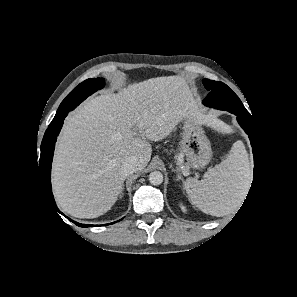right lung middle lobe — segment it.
<instances>
[{
  "instance_id": "obj_1",
  "label": "right lung middle lobe",
  "mask_w": 297,
  "mask_h": 297,
  "mask_svg": "<svg viewBox=\"0 0 297 297\" xmlns=\"http://www.w3.org/2000/svg\"><path fill=\"white\" fill-rule=\"evenodd\" d=\"M104 79L103 78H92L87 79L80 83L77 87H75L67 97L60 104L57 113L50 123L48 127H51L55 124L57 119L60 116L68 113L73 110L78 104H80L84 99H86L89 95L104 87Z\"/></svg>"
}]
</instances>
